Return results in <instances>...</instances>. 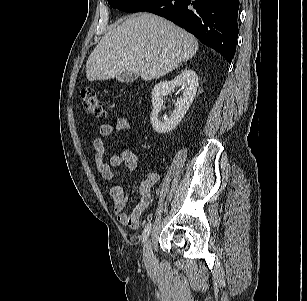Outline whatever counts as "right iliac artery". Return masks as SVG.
<instances>
[{"mask_svg":"<svg viewBox=\"0 0 307 301\" xmlns=\"http://www.w3.org/2000/svg\"><path fill=\"white\" fill-rule=\"evenodd\" d=\"M151 228H152V224L149 222L145 226L144 231H143V235H142V242L143 243L147 240V238H148V236H149V234L151 232Z\"/></svg>","mask_w":307,"mask_h":301,"instance_id":"obj_1","label":"right iliac artery"}]
</instances>
